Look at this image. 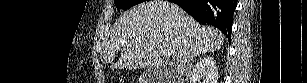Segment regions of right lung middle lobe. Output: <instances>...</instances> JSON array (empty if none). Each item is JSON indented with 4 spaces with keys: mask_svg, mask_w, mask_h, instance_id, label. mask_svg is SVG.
Masks as SVG:
<instances>
[{
    "mask_svg": "<svg viewBox=\"0 0 307 83\" xmlns=\"http://www.w3.org/2000/svg\"><path fill=\"white\" fill-rule=\"evenodd\" d=\"M142 2H144V0H115V5L117 9L122 8L126 10Z\"/></svg>",
    "mask_w": 307,
    "mask_h": 83,
    "instance_id": "dd1d6c3e",
    "label": "right lung middle lobe"
}]
</instances>
